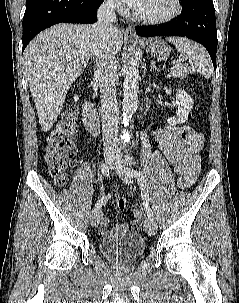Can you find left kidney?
Masks as SVG:
<instances>
[{
	"label": "left kidney",
	"mask_w": 239,
	"mask_h": 303,
	"mask_svg": "<svg viewBox=\"0 0 239 303\" xmlns=\"http://www.w3.org/2000/svg\"><path fill=\"white\" fill-rule=\"evenodd\" d=\"M194 100L184 90H178L176 92L175 104L178 107L176 111V117L167 119V123L170 125L183 124L188 120L189 112L193 107Z\"/></svg>",
	"instance_id": "left-kidney-1"
}]
</instances>
